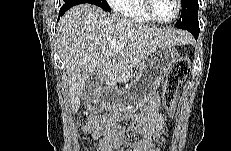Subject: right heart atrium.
Wrapping results in <instances>:
<instances>
[{
	"label": "right heart atrium",
	"mask_w": 231,
	"mask_h": 151,
	"mask_svg": "<svg viewBox=\"0 0 231 151\" xmlns=\"http://www.w3.org/2000/svg\"><path fill=\"white\" fill-rule=\"evenodd\" d=\"M121 0H109V4L112 5L115 8V5L120 2Z\"/></svg>",
	"instance_id": "1"
}]
</instances>
